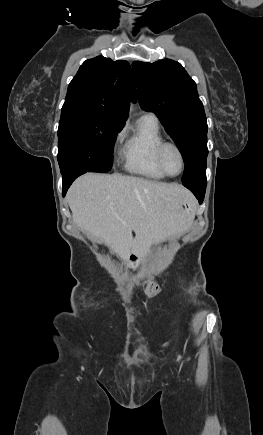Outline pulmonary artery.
Instances as JSON below:
<instances>
[{
    "label": "pulmonary artery",
    "instance_id": "e3ab8cb5",
    "mask_svg": "<svg viewBox=\"0 0 263 435\" xmlns=\"http://www.w3.org/2000/svg\"><path fill=\"white\" fill-rule=\"evenodd\" d=\"M148 116H151V117H154V118H155V116H154L153 114H148Z\"/></svg>",
    "mask_w": 263,
    "mask_h": 435
}]
</instances>
